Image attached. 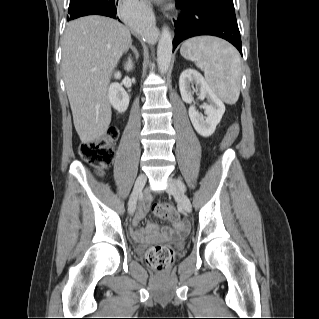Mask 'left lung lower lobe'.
Here are the masks:
<instances>
[{"mask_svg": "<svg viewBox=\"0 0 319 319\" xmlns=\"http://www.w3.org/2000/svg\"><path fill=\"white\" fill-rule=\"evenodd\" d=\"M182 12L175 23L173 51L183 40L199 35H212L233 44L242 55L240 32L234 11L203 0H176Z\"/></svg>", "mask_w": 319, "mask_h": 319, "instance_id": "obj_1", "label": "left lung lower lobe"}]
</instances>
